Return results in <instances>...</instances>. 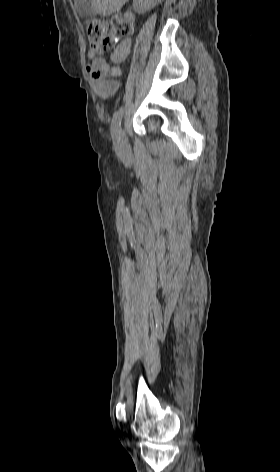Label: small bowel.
I'll use <instances>...</instances> for the list:
<instances>
[{"label": "small bowel", "instance_id": "c3829d8e", "mask_svg": "<svg viewBox=\"0 0 280 472\" xmlns=\"http://www.w3.org/2000/svg\"><path fill=\"white\" fill-rule=\"evenodd\" d=\"M131 46L130 39L121 41L109 61L103 57L101 49L92 48L88 52L91 62L86 66V73L93 92L101 99H108L118 91L121 76L119 64L127 58Z\"/></svg>", "mask_w": 280, "mask_h": 472}]
</instances>
